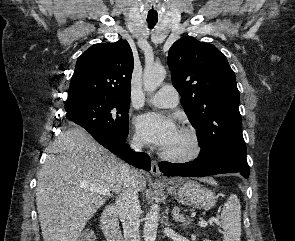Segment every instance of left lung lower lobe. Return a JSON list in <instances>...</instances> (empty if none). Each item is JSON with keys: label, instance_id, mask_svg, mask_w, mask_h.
Listing matches in <instances>:
<instances>
[{"label": "left lung lower lobe", "instance_id": "1", "mask_svg": "<svg viewBox=\"0 0 295 241\" xmlns=\"http://www.w3.org/2000/svg\"><path fill=\"white\" fill-rule=\"evenodd\" d=\"M159 169L168 176H210L221 173L240 172L245 178L249 176V166L246 160L226 155L198 157L187 163L160 162Z\"/></svg>", "mask_w": 295, "mask_h": 241}]
</instances>
